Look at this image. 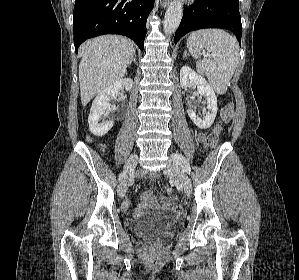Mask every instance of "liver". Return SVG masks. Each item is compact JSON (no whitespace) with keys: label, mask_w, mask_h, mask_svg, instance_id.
Segmentation results:
<instances>
[{"label":"liver","mask_w":299,"mask_h":280,"mask_svg":"<svg viewBox=\"0 0 299 280\" xmlns=\"http://www.w3.org/2000/svg\"><path fill=\"white\" fill-rule=\"evenodd\" d=\"M134 52L131 41L116 35L100 36L81 45L79 83L83 106L126 74Z\"/></svg>","instance_id":"obj_1"}]
</instances>
